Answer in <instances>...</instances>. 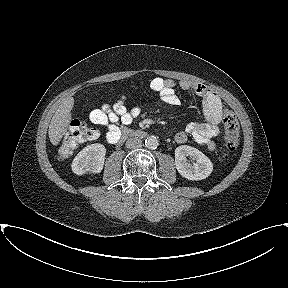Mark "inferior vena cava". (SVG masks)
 <instances>
[{
	"label": "inferior vena cava",
	"instance_id": "602c4592",
	"mask_svg": "<svg viewBox=\"0 0 288 288\" xmlns=\"http://www.w3.org/2000/svg\"><path fill=\"white\" fill-rule=\"evenodd\" d=\"M125 145L129 149L138 148L142 145V140L138 137H132L126 141Z\"/></svg>",
	"mask_w": 288,
	"mask_h": 288
}]
</instances>
